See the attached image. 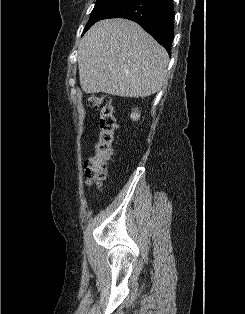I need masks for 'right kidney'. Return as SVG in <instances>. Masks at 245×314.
I'll use <instances>...</instances> for the list:
<instances>
[{
  "mask_svg": "<svg viewBox=\"0 0 245 314\" xmlns=\"http://www.w3.org/2000/svg\"><path fill=\"white\" fill-rule=\"evenodd\" d=\"M140 117L139 113H137L136 111H134V113H131V118L132 120H138Z\"/></svg>",
  "mask_w": 245,
  "mask_h": 314,
  "instance_id": "right-kidney-1",
  "label": "right kidney"
}]
</instances>
